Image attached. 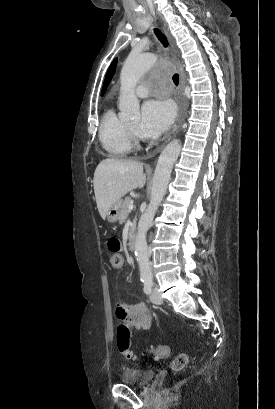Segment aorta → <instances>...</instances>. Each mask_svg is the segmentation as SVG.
<instances>
[{"label":"aorta","instance_id":"762f6f07","mask_svg":"<svg viewBox=\"0 0 275 409\" xmlns=\"http://www.w3.org/2000/svg\"><path fill=\"white\" fill-rule=\"evenodd\" d=\"M164 51H129L120 72V120H135L139 122L140 100L135 94V86L146 70V65H158L159 60H164ZM181 150V142L174 138L163 148L155 168L151 200L138 223V233L135 241V255L139 263L142 281H152L153 275L149 263L146 235L154 219V215L166 192L174 162Z\"/></svg>","mask_w":275,"mask_h":409}]
</instances>
